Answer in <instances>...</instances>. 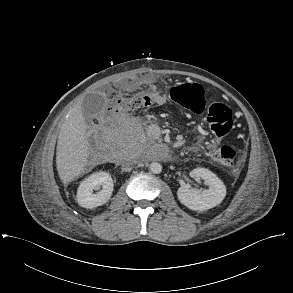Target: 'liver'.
<instances>
[{
	"label": "liver",
	"instance_id": "1",
	"mask_svg": "<svg viewBox=\"0 0 293 293\" xmlns=\"http://www.w3.org/2000/svg\"><path fill=\"white\" fill-rule=\"evenodd\" d=\"M88 157L86 123L80 102L69 112L59 132L56 167L60 180L68 183L82 174Z\"/></svg>",
	"mask_w": 293,
	"mask_h": 293
}]
</instances>
